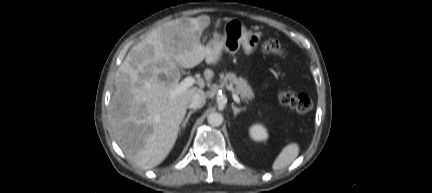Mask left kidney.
<instances>
[{
    "instance_id": "left-kidney-1",
    "label": "left kidney",
    "mask_w": 432,
    "mask_h": 193,
    "mask_svg": "<svg viewBox=\"0 0 432 193\" xmlns=\"http://www.w3.org/2000/svg\"><path fill=\"white\" fill-rule=\"evenodd\" d=\"M250 137L255 141H264L268 138L266 128L261 124H254L249 129Z\"/></svg>"
}]
</instances>
